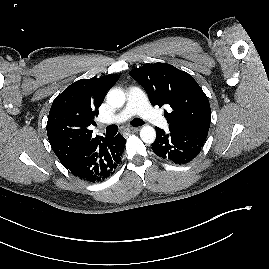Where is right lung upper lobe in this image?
<instances>
[{
  "mask_svg": "<svg viewBox=\"0 0 269 269\" xmlns=\"http://www.w3.org/2000/svg\"><path fill=\"white\" fill-rule=\"evenodd\" d=\"M118 79V75L110 74L78 80L54 99L48 116L47 135L62 164L103 138L92 137L89 126L96 124L94 118L99 114L98 108Z\"/></svg>",
  "mask_w": 269,
  "mask_h": 269,
  "instance_id": "obj_1",
  "label": "right lung upper lobe"
}]
</instances>
